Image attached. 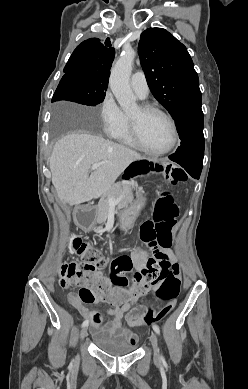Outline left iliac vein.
Here are the masks:
<instances>
[{"label": "left iliac vein", "mask_w": 248, "mask_h": 389, "mask_svg": "<svg viewBox=\"0 0 248 389\" xmlns=\"http://www.w3.org/2000/svg\"><path fill=\"white\" fill-rule=\"evenodd\" d=\"M150 340L154 351V360L155 362H158L160 360V354L158 348V339L154 332H151Z\"/></svg>", "instance_id": "4c4485c4"}]
</instances>
